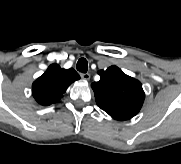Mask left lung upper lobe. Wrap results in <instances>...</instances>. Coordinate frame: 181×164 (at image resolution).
<instances>
[{
  "label": "left lung upper lobe",
  "mask_w": 181,
  "mask_h": 164,
  "mask_svg": "<svg viewBox=\"0 0 181 164\" xmlns=\"http://www.w3.org/2000/svg\"><path fill=\"white\" fill-rule=\"evenodd\" d=\"M101 79L91 84L97 105L116 120H128L141 109L145 98L142 84L117 66L98 71Z\"/></svg>",
  "instance_id": "left-lung-upper-lobe-1"
}]
</instances>
